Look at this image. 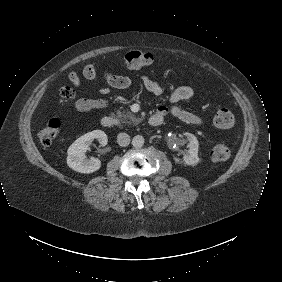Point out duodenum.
<instances>
[{
    "mask_svg": "<svg viewBox=\"0 0 282 282\" xmlns=\"http://www.w3.org/2000/svg\"><path fill=\"white\" fill-rule=\"evenodd\" d=\"M162 122L163 118L158 115L152 116L148 119V123L153 126H158ZM100 123L105 128H114L117 126V120L112 116H103Z\"/></svg>",
    "mask_w": 282,
    "mask_h": 282,
    "instance_id": "1",
    "label": "duodenum"
}]
</instances>
